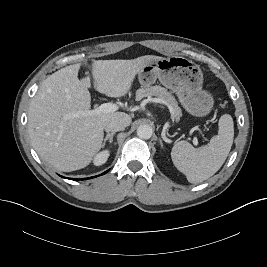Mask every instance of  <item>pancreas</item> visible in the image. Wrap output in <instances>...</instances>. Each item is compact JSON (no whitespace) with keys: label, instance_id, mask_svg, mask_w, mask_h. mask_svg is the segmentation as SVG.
I'll use <instances>...</instances> for the list:
<instances>
[{"label":"pancreas","instance_id":"obj_1","mask_svg":"<svg viewBox=\"0 0 267 267\" xmlns=\"http://www.w3.org/2000/svg\"><path fill=\"white\" fill-rule=\"evenodd\" d=\"M155 96L158 99L162 100L163 103L167 104L171 110L172 119L179 121L182 112L178 103L174 96H172L171 92H168L166 88L161 87L159 85L152 86L149 88H141L136 91V100L139 101L144 97H152Z\"/></svg>","mask_w":267,"mask_h":267}]
</instances>
